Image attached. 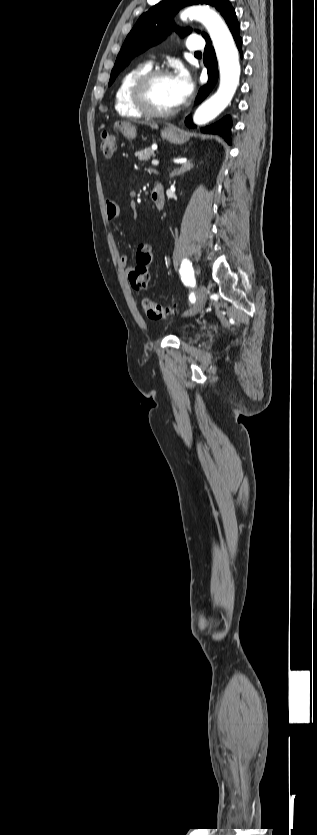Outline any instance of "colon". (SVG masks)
<instances>
[{"instance_id":"obj_1","label":"colon","mask_w":317,"mask_h":835,"mask_svg":"<svg viewBox=\"0 0 317 835\" xmlns=\"http://www.w3.org/2000/svg\"><path fill=\"white\" fill-rule=\"evenodd\" d=\"M116 148L117 140L115 136L109 132H103L101 135V150L104 156L112 157ZM151 262L150 257L147 260H139L136 266L129 272L128 280L134 291L140 292L147 288L150 280ZM142 307L147 317L151 320H160L174 313L173 306L160 305L148 298L143 299Z\"/></svg>"}]
</instances>
